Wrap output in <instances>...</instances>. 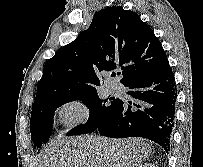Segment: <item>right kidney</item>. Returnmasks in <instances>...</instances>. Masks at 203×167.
<instances>
[{
  "mask_svg": "<svg viewBox=\"0 0 203 167\" xmlns=\"http://www.w3.org/2000/svg\"><path fill=\"white\" fill-rule=\"evenodd\" d=\"M139 167H157L155 164L152 163H145L143 165H140Z\"/></svg>",
  "mask_w": 203,
  "mask_h": 167,
  "instance_id": "ca27d5eb",
  "label": "right kidney"
}]
</instances>
